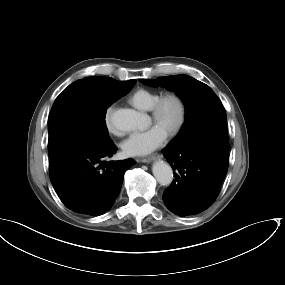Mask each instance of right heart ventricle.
<instances>
[{
	"label": "right heart ventricle",
	"mask_w": 285,
	"mask_h": 285,
	"mask_svg": "<svg viewBox=\"0 0 285 285\" xmlns=\"http://www.w3.org/2000/svg\"><path fill=\"white\" fill-rule=\"evenodd\" d=\"M160 94L145 88L135 90L129 97V102L139 110H150Z\"/></svg>",
	"instance_id": "1"
}]
</instances>
